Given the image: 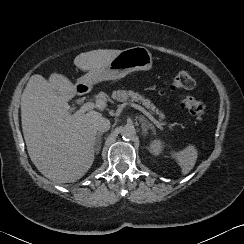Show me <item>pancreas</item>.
<instances>
[{
  "label": "pancreas",
  "instance_id": "cf45deb5",
  "mask_svg": "<svg viewBox=\"0 0 244 244\" xmlns=\"http://www.w3.org/2000/svg\"><path fill=\"white\" fill-rule=\"evenodd\" d=\"M112 98L118 102H139L143 104L146 108L151 109L153 112L158 114L160 119L164 118V115L158 109H156L155 105L152 104L150 100L145 99L142 95L135 93L133 91L117 90L113 92Z\"/></svg>",
  "mask_w": 244,
  "mask_h": 244
}]
</instances>
